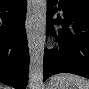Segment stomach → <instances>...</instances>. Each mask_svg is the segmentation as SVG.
<instances>
[{"label": "stomach", "mask_w": 89, "mask_h": 89, "mask_svg": "<svg viewBox=\"0 0 89 89\" xmlns=\"http://www.w3.org/2000/svg\"><path fill=\"white\" fill-rule=\"evenodd\" d=\"M47 89H59V88H57V86H53L49 84Z\"/></svg>", "instance_id": "0dacf381"}]
</instances>
